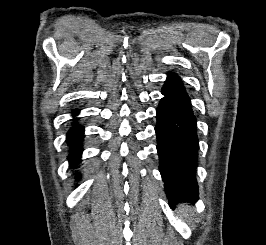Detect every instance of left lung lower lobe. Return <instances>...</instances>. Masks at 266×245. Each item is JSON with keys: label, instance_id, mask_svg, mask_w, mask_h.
Masks as SVG:
<instances>
[{"label": "left lung lower lobe", "instance_id": "0a47b994", "mask_svg": "<svg viewBox=\"0 0 266 245\" xmlns=\"http://www.w3.org/2000/svg\"><path fill=\"white\" fill-rule=\"evenodd\" d=\"M157 108L159 170L169 203L198 200L195 170L198 157L196 117L182 80L169 72Z\"/></svg>", "mask_w": 266, "mask_h": 245}]
</instances>
